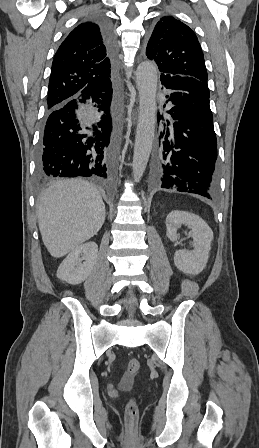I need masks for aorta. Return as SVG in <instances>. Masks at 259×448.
Returning a JSON list of instances; mask_svg holds the SVG:
<instances>
[{"instance_id": "762f6f07", "label": "aorta", "mask_w": 259, "mask_h": 448, "mask_svg": "<svg viewBox=\"0 0 259 448\" xmlns=\"http://www.w3.org/2000/svg\"><path fill=\"white\" fill-rule=\"evenodd\" d=\"M157 80L158 70L153 62L144 61L139 64L136 70L139 114L132 164L135 181L143 176L152 150L157 114Z\"/></svg>"}]
</instances>
